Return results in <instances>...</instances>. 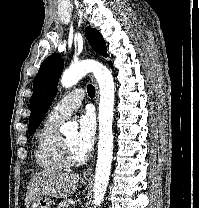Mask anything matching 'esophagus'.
<instances>
[{"label":"esophagus","mask_w":199,"mask_h":208,"mask_svg":"<svg viewBox=\"0 0 199 208\" xmlns=\"http://www.w3.org/2000/svg\"><path fill=\"white\" fill-rule=\"evenodd\" d=\"M91 80L94 82L95 87H96V104L98 102V97H99V91H98V86L96 84L95 78L93 75H90ZM93 164L94 162L91 163V165L84 171V173L82 174L81 178H91L93 175Z\"/></svg>","instance_id":"34e87169"}]
</instances>
